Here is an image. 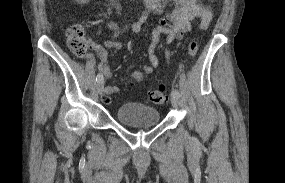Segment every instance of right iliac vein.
Instances as JSON below:
<instances>
[{
    "mask_svg": "<svg viewBox=\"0 0 285 183\" xmlns=\"http://www.w3.org/2000/svg\"><path fill=\"white\" fill-rule=\"evenodd\" d=\"M103 86H104V81L103 80L97 82L96 87H97V90H98L99 93L102 92Z\"/></svg>",
    "mask_w": 285,
    "mask_h": 183,
    "instance_id": "right-iliac-vein-1",
    "label": "right iliac vein"
}]
</instances>
